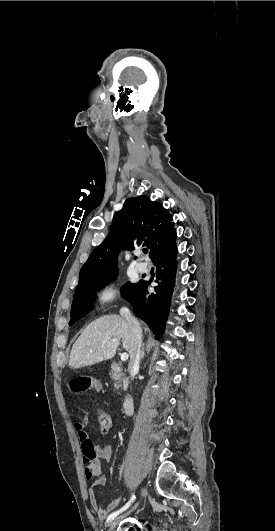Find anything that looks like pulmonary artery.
<instances>
[{
  "instance_id": "e3ab8cb5",
  "label": "pulmonary artery",
  "mask_w": 275,
  "mask_h": 531,
  "mask_svg": "<svg viewBox=\"0 0 275 531\" xmlns=\"http://www.w3.org/2000/svg\"><path fill=\"white\" fill-rule=\"evenodd\" d=\"M144 255L143 251L140 250L139 251V256L142 257ZM148 264L144 261H141L137 264V270L140 272V273H146L148 271Z\"/></svg>"
}]
</instances>
